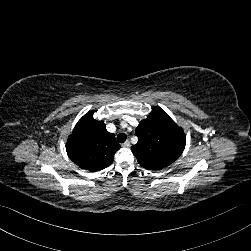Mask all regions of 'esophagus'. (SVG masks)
Listing matches in <instances>:
<instances>
[{"instance_id":"34e87169","label":"esophagus","mask_w":251,"mask_h":251,"mask_svg":"<svg viewBox=\"0 0 251 251\" xmlns=\"http://www.w3.org/2000/svg\"><path fill=\"white\" fill-rule=\"evenodd\" d=\"M122 146H123V147H130V141L127 140L126 142H124V143L122 144Z\"/></svg>"}]
</instances>
